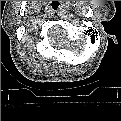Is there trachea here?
<instances>
[{"instance_id":"trachea-1","label":"trachea","mask_w":121,"mask_h":121,"mask_svg":"<svg viewBox=\"0 0 121 121\" xmlns=\"http://www.w3.org/2000/svg\"><path fill=\"white\" fill-rule=\"evenodd\" d=\"M60 7H61V4L59 3V1H52V3H51V8L53 9V10H59L60 9Z\"/></svg>"}]
</instances>
